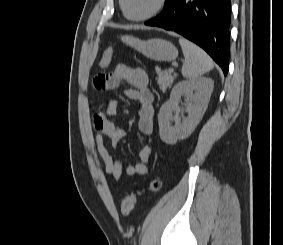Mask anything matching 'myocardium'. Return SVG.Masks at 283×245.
<instances>
[{
	"mask_svg": "<svg viewBox=\"0 0 283 245\" xmlns=\"http://www.w3.org/2000/svg\"><path fill=\"white\" fill-rule=\"evenodd\" d=\"M119 2H120V8L122 10L124 17L127 20L134 21V22L146 21V20H149L155 17L165 8L167 4V0H158L156 7L152 11H150L149 13L143 16L134 17V16L128 15L126 8H125V0H119Z\"/></svg>",
	"mask_w": 283,
	"mask_h": 245,
	"instance_id": "f54148a6",
	"label": "myocardium"
}]
</instances>
